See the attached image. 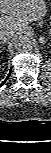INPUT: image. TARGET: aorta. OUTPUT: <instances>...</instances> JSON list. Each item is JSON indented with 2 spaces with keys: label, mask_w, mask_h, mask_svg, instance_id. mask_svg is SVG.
<instances>
[{
  "label": "aorta",
  "mask_w": 51,
  "mask_h": 153,
  "mask_svg": "<svg viewBox=\"0 0 51 153\" xmlns=\"http://www.w3.org/2000/svg\"><path fill=\"white\" fill-rule=\"evenodd\" d=\"M34 46V39L28 34L20 35L14 41V49L19 52H27Z\"/></svg>",
  "instance_id": "762f6f07"
}]
</instances>
